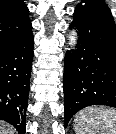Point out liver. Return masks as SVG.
<instances>
[{"instance_id": "obj_1", "label": "liver", "mask_w": 116, "mask_h": 134, "mask_svg": "<svg viewBox=\"0 0 116 134\" xmlns=\"http://www.w3.org/2000/svg\"><path fill=\"white\" fill-rule=\"evenodd\" d=\"M13 130L6 124H0V134H13Z\"/></svg>"}]
</instances>
